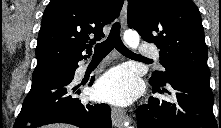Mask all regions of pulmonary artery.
Listing matches in <instances>:
<instances>
[{"mask_svg": "<svg viewBox=\"0 0 221 128\" xmlns=\"http://www.w3.org/2000/svg\"><path fill=\"white\" fill-rule=\"evenodd\" d=\"M139 58L142 60H149L150 58H159V54L154 47L140 48Z\"/></svg>", "mask_w": 221, "mask_h": 128, "instance_id": "e3ab8cb5", "label": "pulmonary artery"}]
</instances>
